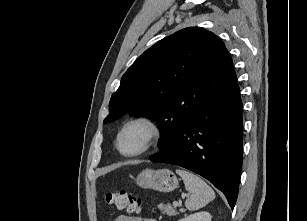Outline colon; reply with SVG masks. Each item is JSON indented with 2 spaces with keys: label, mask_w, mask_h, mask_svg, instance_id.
I'll list each match as a JSON object with an SVG mask.
<instances>
[{
  "label": "colon",
  "mask_w": 307,
  "mask_h": 221,
  "mask_svg": "<svg viewBox=\"0 0 307 221\" xmlns=\"http://www.w3.org/2000/svg\"><path fill=\"white\" fill-rule=\"evenodd\" d=\"M106 202L119 209H126L128 212H138L141 207V199L139 197L128 194L124 190H115L105 195Z\"/></svg>",
  "instance_id": "5ec220e1"
}]
</instances>
